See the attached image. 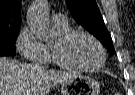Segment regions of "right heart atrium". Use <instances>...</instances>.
<instances>
[{
    "label": "right heart atrium",
    "instance_id": "right-heart-atrium-1",
    "mask_svg": "<svg viewBox=\"0 0 135 95\" xmlns=\"http://www.w3.org/2000/svg\"><path fill=\"white\" fill-rule=\"evenodd\" d=\"M16 47L30 61L43 63L48 59L47 47L34 36L28 27L22 28L19 32Z\"/></svg>",
    "mask_w": 135,
    "mask_h": 95
}]
</instances>
